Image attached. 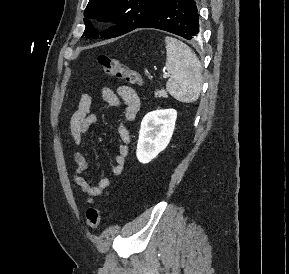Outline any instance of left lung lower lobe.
Here are the masks:
<instances>
[{"label":"left lung lower lobe","mask_w":289,"mask_h":274,"mask_svg":"<svg viewBox=\"0 0 289 274\" xmlns=\"http://www.w3.org/2000/svg\"><path fill=\"white\" fill-rule=\"evenodd\" d=\"M136 28H156L187 40H194L200 32L196 2L195 0H165Z\"/></svg>","instance_id":"1"}]
</instances>
